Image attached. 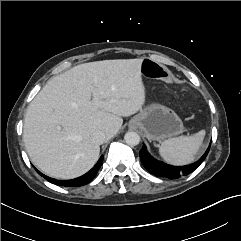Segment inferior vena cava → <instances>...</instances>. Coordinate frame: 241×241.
<instances>
[{"instance_id":"obj_1","label":"inferior vena cava","mask_w":241,"mask_h":241,"mask_svg":"<svg viewBox=\"0 0 241 241\" xmlns=\"http://www.w3.org/2000/svg\"><path fill=\"white\" fill-rule=\"evenodd\" d=\"M106 139V135L103 131H95L91 135V141L97 145H101Z\"/></svg>"}]
</instances>
